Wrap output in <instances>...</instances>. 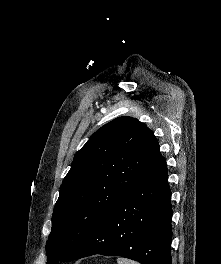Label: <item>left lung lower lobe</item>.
Segmentation results:
<instances>
[{
  "label": "left lung lower lobe",
  "instance_id": "1",
  "mask_svg": "<svg viewBox=\"0 0 221 264\" xmlns=\"http://www.w3.org/2000/svg\"><path fill=\"white\" fill-rule=\"evenodd\" d=\"M165 158L149 171L68 256L101 254L171 264V191Z\"/></svg>",
  "mask_w": 221,
  "mask_h": 264
}]
</instances>
